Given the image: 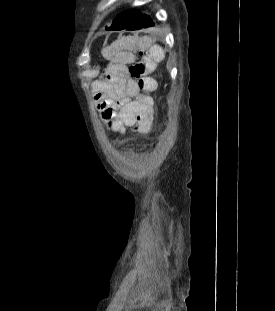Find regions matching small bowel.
Segmentation results:
<instances>
[{
	"label": "small bowel",
	"instance_id": "obj_1",
	"mask_svg": "<svg viewBox=\"0 0 275 311\" xmlns=\"http://www.w3.org/2000/svg\"><path fill=\"white\" fill-rule=\"evenodd\" d=\"M102 55L110 61L104 78L93 86L94 99L102 117L105 120L127 118L126 129L132 128L134 133H151L154 101L139 92L137 81L129 75V65L136 57H152L156 63L168 62L167 50L154 45L148 36L140 41L122 37L106 47ZM154 83L156 85L155 80Z\"/></svg>",
	"mask_w": 275,
	"mask_h": 311
}]
</instances>
